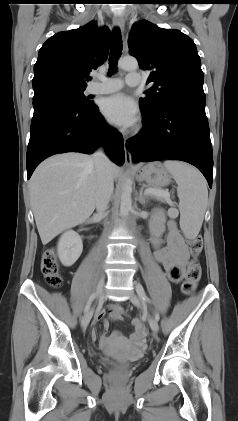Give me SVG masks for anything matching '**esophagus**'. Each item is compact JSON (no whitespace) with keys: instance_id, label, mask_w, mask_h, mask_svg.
Listing matches in <instances>:
<instances>
[{"instance_id":"34e87169","label":"esophagus","mask_w":238,"mask_h":421,"mask_svg":"<svg viewBox=\"0 0 238 421\" xmlns=\"http://www.w3.org/2000/svg\"><path fill=\"white\" fill-rule=\"evenodd\" d=\"M113 24L115 26H117L118 28H120L121 31H124V25L125 24H124V19L121 15H115L113 17ZM126 143H127V138L125 137L124 138L125 165L127 167H133L132 155H131V152L128 150L127 146H126Z\"/></svg>"}]
</instances>
